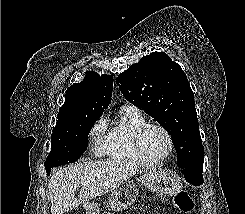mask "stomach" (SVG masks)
I'll list each match as a JSON object with an SVG mask.
<instances>
[{
  "instance_id": "stomach-1",
  "label": "stomach",
  "mask_w": 245,
  "mask_h": 214,
  "mask_svg": "<svg viewBox=\"0 0 245 214\" xmlns=\"http://www.w3.org/2000/svg\"><path fill=\"white\" fill-rule=\"evenodd\" d=\"M138 184L164 197H173L182 190L181 182L163 172L148 171L137 179ZM138 197V187L130 180L112 190L108 196V208L122 211L129 207ZM87 214H98L97 205L87 202L84 204Z\"/></svg>"
}]
</instances>
